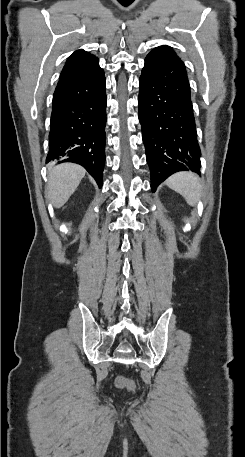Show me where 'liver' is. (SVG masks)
Here are the masks:
<instances>
[{
	"label": "liver",
	"mask_w": 245,
	"mask_h": 457,
	"mask_svg": "<svg viewBox=\"0 0 245 457\" xmlns=\"http://www.w3.org/2000/svg\"><path fill=\"white\" fill-rule=\"evenodd\" d=\"M85 172L83 166L74 162H62L50 170L47 196L53 202V206L60 208L67 202L81 178L85 176Z\"/></svg>",
	"instance_id": "liver-1"
}]
</instances>
